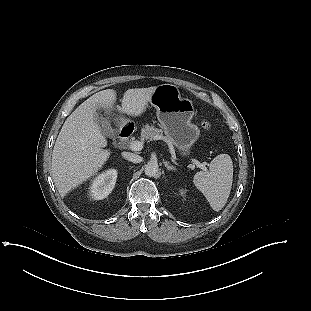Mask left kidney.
Segmentation results:
<instances>
[{
    "label": "left kidney",
    "instance_id": "5707ae66",
    "mask_svg": "<svg viewBox=\"0 0 311 311\" xmlns=\"http://www.w3.org/2000/svg\"><path fill=\"white\" fill-rule=\"evenodd\" d=\"M180 193L183 195V194H184V191H183V190H180Z\"/></svg>",
    "mask_w": 311,
    "mask_h": 311
}]
</instances>
